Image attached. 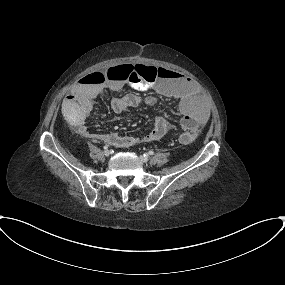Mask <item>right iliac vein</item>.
Masks as SVG:
<instances>
[{
	"label": "right iliac vein",
	"mask_w": 285,
	"mask_h": 285,
	"mask_svg": "<svg viewBox=\"0 0 285 285\" xmlns=\"http://www.w3.org/2000/svg\"><path fill=\"white\" fill-rule=\"evenodd\" d=\"M110 154H111V152H110L109 150H105V151H104V155H105L106 157H108Z\"/></svg>",
	"instance_id": "1"
}]
</instances>
